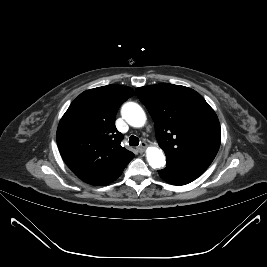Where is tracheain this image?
<instances>
[{
	"label": "trachea",
	"instance_id": "obj_1",
	"mask_svg": "<svg viewBox=\"0 0 267 267\" xmlns=\"http://www.w3.org/2000/svg\"><path fill=\"white\" fill-rule=\"evenodd\" d=\"M129 145H131V146H138L139 145V138L136 137V136H134V135L130 136V138H129Z\"/></svg>",
	"mask_w": 267,
	"mask_h": 267
}]
</instances>
